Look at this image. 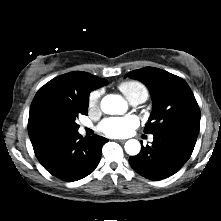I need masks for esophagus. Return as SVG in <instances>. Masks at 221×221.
<instances>
[{"label":"esophagus","instance_id":"esophagus-1","mask_svg":"<svg viewBox=\"0 0 221 221\" xmlns=\"http://www.w3.org/2000/svg\"><path fill=\"white\" fill-rule=\"evenodd\" d=\"M117 142H119V143H124L125 142V140H116Z\"/></svg>","mask_w":221,"mask_h":221}]
</instances>
